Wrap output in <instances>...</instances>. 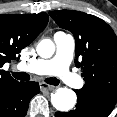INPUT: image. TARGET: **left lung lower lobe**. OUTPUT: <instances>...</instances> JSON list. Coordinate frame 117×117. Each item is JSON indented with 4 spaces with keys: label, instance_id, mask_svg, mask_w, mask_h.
<instances>
[{
    "label": "left lung lower lobe",
    "instance_id": "1",
    "mask_svg": "<svg viewBox=\"0 0 117 117\" xmlns=\"http://www.w3.org/2000/svg\"><path fill=\"white\" fill-rule=\"evenodd\" d=\"M74 91L78 99L76 109L67 113L56 112V117H108L116 104V100Z\"/></svg>",
    "mask_w": 117,
    "mask_h": 117
}]
</instances>
